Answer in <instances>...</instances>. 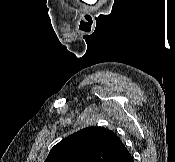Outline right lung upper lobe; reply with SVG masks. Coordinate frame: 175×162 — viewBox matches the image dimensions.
I'll return each mask as SVG.
<instances>
[{"mask_svg":"<svg viewBox=\"0 0 175 162\" xmlns=\"http://www.w3.org/2000/svg\"><path fill=\"white\" fill-rule=\"evenodd\" d=\"M127 153L113 131L92 126L56 144L44 162H117Z\"/></svg>","mask_w":175,"mask_h":162,"instance_id":"cb5924a9","label":"right lung upper lobe"}]
</instances>
